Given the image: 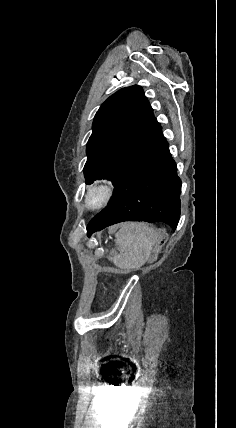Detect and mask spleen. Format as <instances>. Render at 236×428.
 I'll list each match as a JSON object with an SVG mask.
<instances>
[{
    "mask_svg": "<svg viewBox=\"0 0 236 428\" xmlns=\"http://www.w3.org/2000/svg\"><path fill=\"white\" fill-rule=\"evenodd\" d=\"M119 254L110 258L118 268L129 266L130 270L140 268L147 262L152 246L156 244V234L145 222H126L116 234Z\"/></svg>",
    "mask_w": 236,
    "mask_h": 428,
    "instance_id": "obj_1",
    "label": "spleen"
}]
</instances>
